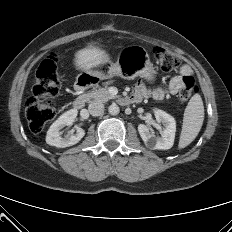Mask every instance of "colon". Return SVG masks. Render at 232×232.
<instances>
[{"mask_svg": "<svg viewBox=\"0 0 232 232\" xmlns=\"http://www.w3.org/2000/svg\"><path fill=\"white\" fill-rule=\"evenodd\" d=\"M153 55L157 65L164 72L175 70L181 62L177 56L161 47L154 48ZM59 90L60 78L55 68V61L47 58L36 71L33 94L26 102V118L33 133L40 132L54 118L53 99L58 96ZM196 91L195 79L190 75L184 76L178 98L180 101L186 102Z\"/></svg>", "mask_w": 232, "mask_h": 232, "instance_id": "1", "label": "colon"}]
</instances>
